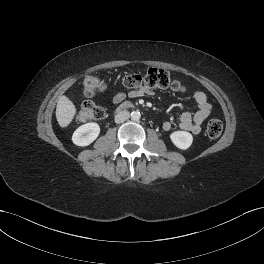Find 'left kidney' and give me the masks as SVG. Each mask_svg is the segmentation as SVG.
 <instances>
[{
    "mask_svg": "<svg viewBox=\"0 0 264 264\" xmlns=\"http://www.w3.org/2000/svg\"><path fill=\"white\" fill-rule=\"evenodd\" d=\"M170 139L177 148L182 150L188 149L193 141L192 135L186 131H175L171 133Z\"/></svg>",
    "mask_w": 264,
    "mask_h": 264,
    "instance_id": "1",
    "label": "left kidney"
}]
</instances>
